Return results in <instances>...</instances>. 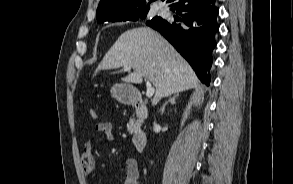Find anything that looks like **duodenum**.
<instances>
[{"instance_id": "1", "label": "duodenum", "mask_w": 293, "mask_h": 184, "mask_svg": "<svg viewBox=\"0 0 293 184\" xmlns=\"http://www.w3.org/2000/svg\"><path fill=\"white\" fill-rule=\"evenodd\" d=\"M130 102L134 106L138 117L144 118L147 116L148 108L146 102L139 93H134L133 95H131ZM132 143L134 148L138 152H141L145 148L147 143L146 133L141 129L136 130L132 136Z\"/></svg>"}]
</instances>
